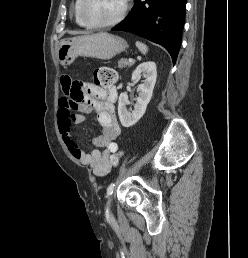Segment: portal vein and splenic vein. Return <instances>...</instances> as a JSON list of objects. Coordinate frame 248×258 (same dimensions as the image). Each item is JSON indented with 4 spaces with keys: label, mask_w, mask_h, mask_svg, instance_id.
Returning a JSON list of instances; mask_svg holds the SVG:
<instances>
[{
    "label": "portal vein and splenic vein",
    "mask_w": 248,
    "mask_h": 258,
    "mask_svg": "<svg viewBox=\"0 0 248 258\" xmlns=\"http://www.w3.org/2000/svg\"><path fill=\"white\" fill-rule=\"evenodd\" d=\"M129 62H133V59H132V58H129Z\"/></svg>",
    "instance_id": "1"
}]
</instances>
